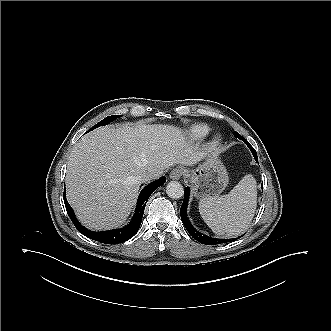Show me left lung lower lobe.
I'll list each match as a JSON object with an SVG mask.
<instances>
[{"instance_id":"obj_1","label":"left lung lower lobe","mask_w":331,"mask_h":331,"mask_svg":"<svg viewBox=\"0 0 331 331\" xmlns=\"http://www.w3.org/2000/svg\"><path fill=\"white\" fill-rule=\"evenodd\" d=\"M235 137H238L239 139L246 142V144L248 145V147L250 148L252 153L255 156H257L254 148L240 134L236 133ZM189 191H190V189L188 187H186L185 191H184V201H183L182 207L180 209V215H181L182 222H183L184 226L186 227L187 231L189 232V234L198 242H200L202 244H207V245H216V244H222V243H227V242L231 241V240H227V239H216V238L206 236V235L196 231L193 228V226L191 225L190 221L188 220V217L186 214L187 204H188V200H189ZM236 239H233V240H236Z\"/></svg>"}]
</instances>
